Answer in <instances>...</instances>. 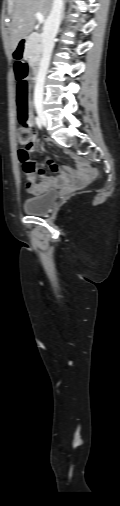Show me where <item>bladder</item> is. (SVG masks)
<instances>
[{
	"instance_id": "1",
	"label": "bladder",
	"mask_w": 120,
	"mask_h": 506,
	"mask_svg": "<svg viewBox=\"0 0 120 506\" xmlns=\"http://www.w3.org/2000/svg\"><path fill=\"white\" fill-rule=\"evenodd\" d=\"M57 200V192L49 190L36 197H27L23 201V209L31 215L46 214Z\"/></svg>"
}]
</instances>
